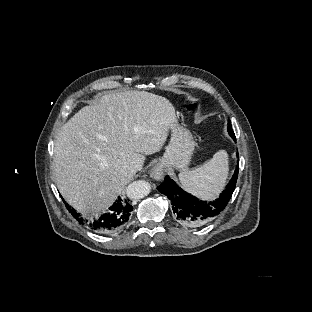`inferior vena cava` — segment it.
<instances>
[{"label": "inferior vena cava", "instance_id": "inferior-vena-cava-1", "mask_svg": "<svg viewBox=\"0 0 312 312\" xmlns=\"http://www.w3.org/2000/svg\"><path fill=\"white\" fill-rule=\"evenodd\" d=\"M143 162L141 160L134 161L129 167V173L134 175L137 171L141 170Z\"/></svg>", "mask_w": 312, "mask_h": 312}]
</instances>
